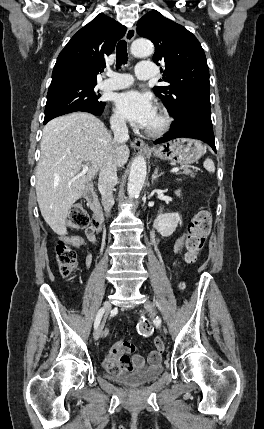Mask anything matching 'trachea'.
Wrapping results in <instances>:
<instances>
[{"label": "trachea", "mask_w": 264, "mask_h": 429, "mask_svg": "<svg viewBox=\"0 0 264 429\" xmlns=\"http://www.w3.org/2000/svg\"><path fill=\"white\" fill-rule=\"evenodd\" d=\"M128 60L127 43L125 40L118 42L116 47V67L120 68L122 64H126Z\"/></svg>", "instance_id": "obj_1"}]
</instances>
